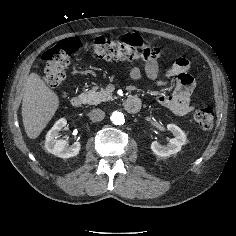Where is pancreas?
Masks as SVG:
<instances>
[{"label":"pancreas","mask_w":236,"mask_h":236,"mask_svg":"<svg viewBox=\"0 0 236 236\" xmlns=\"http://www.w3.org/2000/svg\"><path fill=\"white\" fill-rule=\"evenodd\" d=\"M98 87H93L87 92H83L80 97L83 101L89 105H97L101 102L112 100L113 96L104 88H100V91H97Z\"/></svg>","instance_id":"pancreas-1"}]
</instances>
